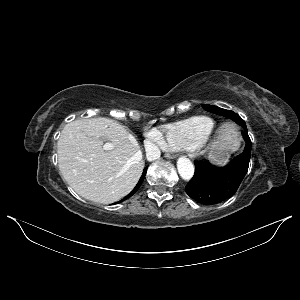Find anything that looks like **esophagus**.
<instances>
[{
    "label": "esophagus",
    "mask_w": 300,
    "mask_h": 300,
    "mask_svg": "<svg viewBox=\"0 0 300 300\" xmlns=\"http://www.w3.org/2000/svg\"><path fill=\"white\" fill-rule=\"evenodd\" d=\"M166 157L169 159H174V158H176V155L166 154Z\"/></svg>",
    "instance_id": "34e87169"
}]
</instances>
